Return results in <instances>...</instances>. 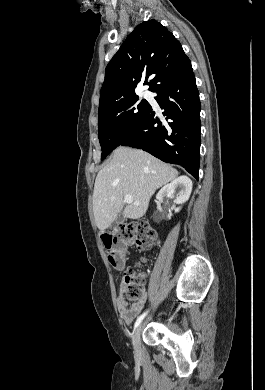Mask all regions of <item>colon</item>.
Masks as SVG:
<instances>
[{
  "label": "colon",
  "mask_w": 265,
  "mask_h": 390,
  "mask_svg": "<svg viewBox=\"0 0 265 390\" xmlns=\"http://www.w3.org/2000/svg\"><path fill=\"white\" fill-rule=\"evenodd\" d=\"M108 260L116 268H122L125 263V250L130 244H135L142 250H147L157 244L155 231L146 222L124 224L103 237ZM144 273L140 266L130 268L125 274V295L130 301L137 302L144 297Z\"/></svg>",
  "instance_id": "obj_1"
}]
</instances>
